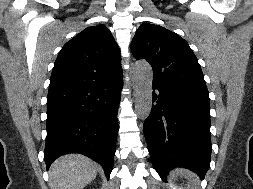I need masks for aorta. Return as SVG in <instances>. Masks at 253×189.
<instances>
[{
    "label": "aorta",
    "instance_id": "1",
    "mask_svg": "<svg viewBox=\"0 0 253 189\" xmlns=\"http://www.w3.org/2000/svg\"><path fill=\"white\" fill-rule=\"evenodd\" d=\"M133 76L136 86L135 111L141 120H145L152 107V79L153 71L146 61H137L134 64Z\"/></svg>",
    "mask_w": 253,
    "mask_h": 189
}]
</instances>
